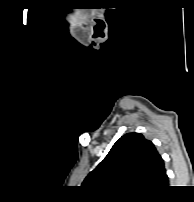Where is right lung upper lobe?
Segmentation results:
<instances>
[{
  "mask_svg": "<svg viewBox=\"0 0 194 202\" xmlns=\"http://www.w3.org/2000/svg\"><path fill=\"white\" fill-rule=\"evenodd\" d=\"M168 176L154 144L128 133L85 178L83 186L103 196L149 197L167 188Z\"/></svg>",
  "mask_w": 194,
  "mask_h": 202,
  "instance_id": "1",
  "label": "right lung upper lobe"
}]
</instances>
